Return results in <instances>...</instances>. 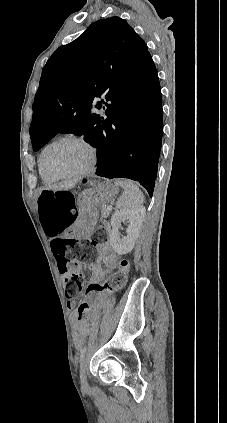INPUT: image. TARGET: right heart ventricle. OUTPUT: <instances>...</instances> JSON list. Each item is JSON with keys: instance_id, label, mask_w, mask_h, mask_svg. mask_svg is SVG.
<instances>
[{"instance_id": "1", "label": "right heart ventricle", "mask_w": 227, "mask_h": 423, "mask_svg": "<svg viewBox=\"0 0 227 423\" xmlns=\"http://www.w3.org/2000/svg\"><path fill=\"white\" fill-rule=\"evenodd\" d=\"M49 145V144H48ZM48 145H46L41 151H40V153H39V155H38V159H37V165H38V170H39V175H40V177H41V179H42V181H43V183L44 184H51V183H54V182H56L57 181V179H55V178H52V177H50V176H48L46 173H45V171H44V169H43V167H42V154H43V151H44V149L48 146Z\"/></svg>"}]
</instances>
